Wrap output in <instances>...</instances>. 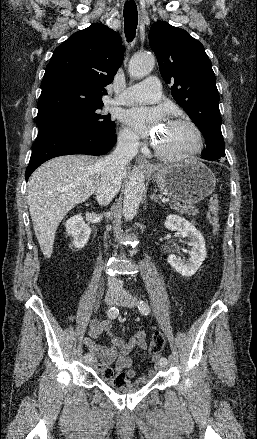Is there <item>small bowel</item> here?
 I'll use <instances>...</instances> for the list:
<instances>
[{"mask_svg":"<svg viewBox=\"0 0 257 439\" xmlns=\"http://www.w3.org/2000/svg\"><path fill=\"white\" fill-rule=\"evenodd\" d=\"M101 335L108 337V345H100L97 343V339ZM83 344L93 356L95 361L94 366H96L99 371L114 364L115 371L118 373L123 372L128 379L133 380L134 384H147L156 375V370L151 369L147 374L137 377L133 368V355L135 351L137 349H147L145 332H137L128 342H125L114 336L109 320H94L89 325V335L83 339ZM157 359L158 356L152 357L154 362H156Z\"/></svg>","mask_w":257,"mask_h":439,"instance_id":"obj_1","label":"small bowel"}]
</instances>
